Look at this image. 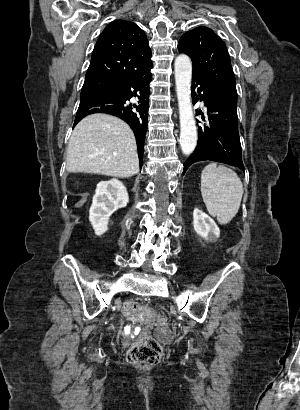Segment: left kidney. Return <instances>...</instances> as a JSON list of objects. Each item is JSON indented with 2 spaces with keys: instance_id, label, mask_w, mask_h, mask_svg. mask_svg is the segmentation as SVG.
Listing matches in <instances>:
<instances>
[{
  "instance_id": "1",
  "label": "left kidney",
  "mask_w": 300,
  "mask_h": 410,
  "mask_svg": "<svg viewBox=\"0 0 300 410\" xmlns=\"http://www.w3.org/2000/svg\"><path fill=\"white\" fill-rule=\"evenodd\" d=\"M193 226L195 232L205 240H208L209 234L216 238L220 236V230L214 220L197 208L193 212Z\"/></svg>"
}]
</instances>
